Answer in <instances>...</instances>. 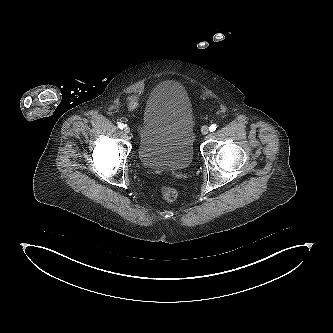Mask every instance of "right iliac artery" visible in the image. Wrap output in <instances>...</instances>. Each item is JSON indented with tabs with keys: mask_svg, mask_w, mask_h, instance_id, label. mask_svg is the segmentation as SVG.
I'll use <instances>...</instances> for the list:
<instances>
[{
	"mask_svg": "<svg viewBox=\"0 0 333 333\" xmlns=\"http://www.w3.org/2000/svg\"><path fill=\"white\" fill-rule=\"evenodd\" d=\"M118 127H119L120 129H123V128H124V124H123V123H119V124H118Z\"/></svg>",
	"mask_w": 333,
	"mask_h": 333,
	"instance_id": "82829eb1",
	"label": "right iliac artery"
}]
</instances>
